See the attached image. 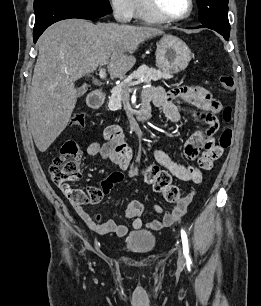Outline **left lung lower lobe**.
Wrapping results in <instances>:
<instances>
[{
	"mask_svg": "<svg viewBox=\"0 0 261 306\" xmlns=\"http://www.w3.org/2000/svg\"><path fill=\"white\" fill-rule=\"evenodd\" d=\"M200 27H205V26H200ZM209 29H212V30H215L216 32H218L219 34H221L225 40H228L229 39V35H230V32L229 31H223L221 29H217V28H212V27H207Z\"/></svg>",
	"mask_w": 261,
	"mask_h": 306,
	"instance_id": "0a47b994",
	"label": "left lung lower lobe"
}]
</instances>
